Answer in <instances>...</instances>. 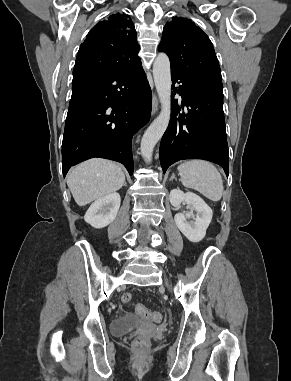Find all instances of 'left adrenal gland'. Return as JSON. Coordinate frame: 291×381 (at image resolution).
Returning <instances> with one entry per match:
<instances>
[{
    "instance_id": "left-adrenal-gland-1",
    "label": "left adrenal gland",
    "mask_w": 291,
    "mask_h": 381,
    "mask_svg": "<svg viewBox=\"0 0 291 381\" xmlns=\"http://www.w3.org/2000/svg\"><path fill=\"white\" fill-rule=\"evenodd\" d=\"M173 179H175V174L173 173L170 177V181H173Z\"/></svg>"
}]
</instances>
